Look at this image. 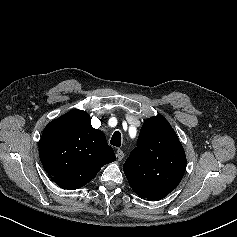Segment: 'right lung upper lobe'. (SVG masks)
Listing matches in <instances>:
<instances>
[{"label": "right lung upper lobe", "mask_w": 237, "mask_h": 237, "mask_svg": "<svg viewBox=\"0 0 237 237\" xmlns=\"http://www.w3.org/2000/svg\"><path fill=\"white\" fill-rule=\"evenodd\" d=\"M39 155L52 180L68 190L84 186L116 159L104 133L92 127L89 114L82 110L70 111L45 127Z\"/></svg>", "instance_id": "right-lung-upper-lobe-1"}]
</instances>
